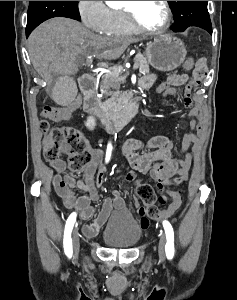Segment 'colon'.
<instances>
[{"instance_id":"obj_1","label":"colon","mask_w":237,"mask_h":300,"mask_svg":"<svg viewBox=\"0 0 237 300\" xmlns=\"http://www.w3.org/2000/svg\"><path fill=\"white\" fill-rule=\"evenodd\" d=\"M198 61L189 58L184 62L185 69L193 68ZM160 92H167L169 87L162 85ZM52 113L51 107H46L43 111L44 117H49ZM40 129L44 135L43 138V155L45 159L52 161L58 158L62 153L69 154L68 169L76 172L86 167L92 160V152L88 140L76 128L71 126H52L43 119L40 123ZM130 179H134L133 174H129ZM188 179L186 174H177L172 179L174 184H180ZM135 192L138 198L143 202L146 215L151 219H157L160 216L159 205L166 203L167 197L160 195L156 198L152 186L140 180H135ZM172 201L180 200V196L175 191L168 192Z\"/></svg>"}]
</instances>
